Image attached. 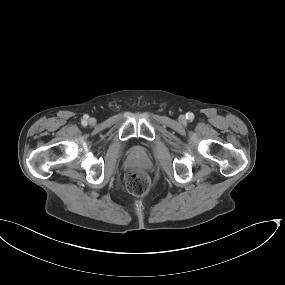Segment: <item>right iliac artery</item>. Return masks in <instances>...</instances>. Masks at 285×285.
Masks as SVG:
<instances>
[{
	"label": "right iliac artery",
	"instance_id": "1",
	"mask_svg": "<svg viewBox=\"0 0 285 285\" xmlns=\"http://www.w3.org/2000/svg\"><path fill=\"white\" fill-rule=\"evenodd\" d=\"M88 115H84L83 120H82V124L86 125V120L88 119Z\"/></svg>",
	"mask_w": 285,
	"mask_h": 285
}]
</instances>
